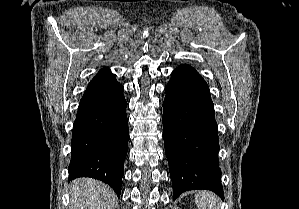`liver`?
I'll list each match as a JSON object with an SVG mask.
<instances>
[{"instance_id": "obj_1", "label": "liver", "mask_w": 299, "mask_h": 209, "mask_svg": "<svg viewBox=\"0 0 299 209\" xmlns=\"http://www.w3.org/2000/svg\"><path fill=\"white\" fill-rule=\"evenodd\" d=\"M70 195V209H114L117 202L109 186L90 178L74 180L70 186Z\"/></svg>"}]
</instances>
